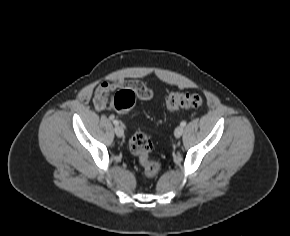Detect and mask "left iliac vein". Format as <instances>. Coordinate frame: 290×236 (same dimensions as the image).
<instances>
[{"instance_id": "4c4485c4", "label": "left iliac vein", "mask_w": 290, "mask_h": 236, "mask_svg": "<svg viewBox=\"0 0 290 236\" xmlns=\"http://www.w3.org/2000/svg\"><path fill=\"white\" fill-rule=\"evenodd\" d=\"M183 131L184 128L182 126H178L174 131L175 137L179 138L183 134Z\"/></svg>"}]
</instances>
